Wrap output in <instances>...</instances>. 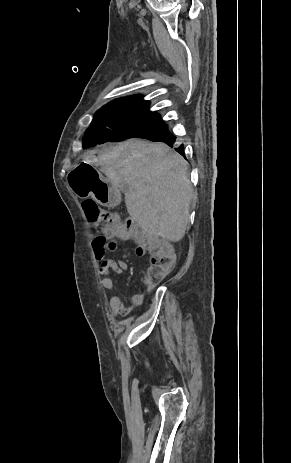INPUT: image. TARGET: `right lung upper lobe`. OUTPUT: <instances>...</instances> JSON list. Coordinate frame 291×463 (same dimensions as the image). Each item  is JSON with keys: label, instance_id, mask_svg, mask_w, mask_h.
<instances>
[{"label": "right lung upper lobe", "instance_id": "obj_1", "mask_svg": "<svg viewBox=\"0 0 291 463\" xmlns=\"http://www.w3.org/2000/svg\"><path fill=\"white\" fill-rule=\"evenodd\" d=\"M148 107L149 102L144 101L142 96L137 95L116 99L106 104L98 111H103L109 114L146 116L160 119V115L157 113H151L148 110Z\"/></svg>", "mask_w": 291, "mask_h": 463}]
</instances>
